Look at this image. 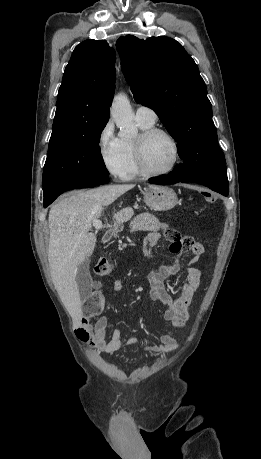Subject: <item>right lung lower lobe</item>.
<instances>
[{
    "mask_svg": "<svg viewBox=\"0 0 261 459\" xmlns=\"http://www.w3.org/2000/svg\"><path fill=\"white\" fill-rule=\"evenodd\" d=\"M108 182H109L108 178H100V179L84 180V181H79V182L72 183V184L67 185L64 188L60 189L55 194H53V195H51V196H49L47 198H44V207H47L48 205H50L60 194H62L63 192H65L67 190L77 189V188H90V187L106 184Z\"/></svg>",
    "mask_w": 261,
    "mask_h": 459,
    "instance_id": "right-lung-lower-lobe-1",
    "label": "right lung lower lobe"
}]
</instances>
